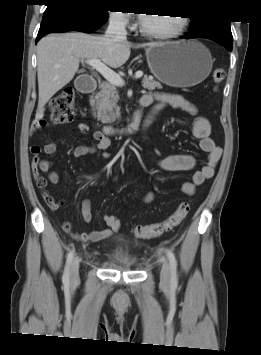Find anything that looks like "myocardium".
Wrapping results in <instances>:
<instances>
[{
    "label": "myocardium",
    "mask_w": 261,
    "mask_h": 355,
    "mask_svg": "<svg viewBox=\"0 0 261 355\" xmlns=\"http://www.w3.org/2000/svg\"><path fill=\"white\" fill-rule=\"evenodd\" d=\"M177 17L179 19V24H178V27L174 31L164 32V33L163 32H154V31H150V30L145 29L143 27L142 23L140 24L139 31L144 36L149 37V38H153V39H158V40L174 39V38L180 36L184 32V30L187 26V22H188V19L185 16H177Z\"/></svg>",
    "instance_id": "obj_1"
}]
</instances>
